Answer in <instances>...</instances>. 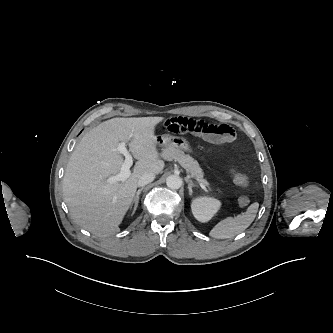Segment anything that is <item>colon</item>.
Returning a JSON list of instances; mask_svg holds the SVG:
<instances>
[{"label":"colon","mask_w":333,"mask_h":333,"mask_svg":"<svg viewBox=\"0 0 333 333\" xmlns=\"http://www.w3.org/2000/svg\"><path fill=\"white\" fill-rule=\"evenodd\" d=\"M232 178L235 184L239 186L246 187L250 184L249 178L243 173L232 171ZM238 203L241 207L247 206L249 204V198L247 196H241Z\"/></svg>","instance_id":"colon-1"}]
</instances>
